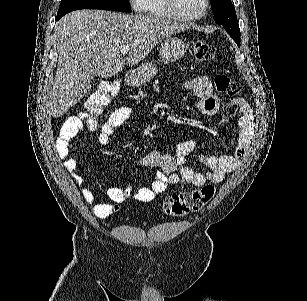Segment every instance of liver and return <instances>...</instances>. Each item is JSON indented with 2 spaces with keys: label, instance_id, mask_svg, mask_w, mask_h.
Masks as SVG:
<instances>
[{
  "label": "liver",
  "instance_id": "obj_1",
  "mask_svg": "<svg viewBox=\"0 0 307 301\" xmlns=\"http://www.w3.org/2000/svg\"><path fill=\"white\" fill-rule=\"evenodd\" d=\"M170 18L124 14L112 10H73L54 28L58 50L51 96L52 116H61L92 88L94 76L110 78L134 66L163 38L188 30ZM129 46L123 58L121 48Z\"/></svg>",
  "mask_w": 307,
  "mask_h": 301
}]
</instances>
